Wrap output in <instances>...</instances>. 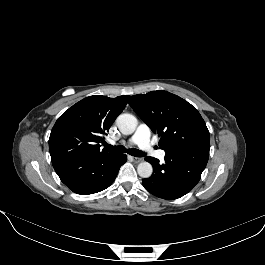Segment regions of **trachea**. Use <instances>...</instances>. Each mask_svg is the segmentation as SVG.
Instances as JSON below:
<instances>
[{"label": "trachea", "mask_w": 265, "mask_h": 265, "mask_svg": "<svg viewBox=\"0 0 265 265\" xmlns=\"http://www.w3.org/2000/svg\"><path fill=\"white\" fill-rule=\"evenodd\" d=\"M105 147L108 148L111 151L118 152V153H123L126 150V148L124 146H122V145L112 146V145H109V144H105ZM127 153L132 155V156H135V157H144L146 155V153H144V152H142V151H140L138 149H135V148L128 149Z\"/></svg>", "instance_id": "obj_1"}]
</instances>
